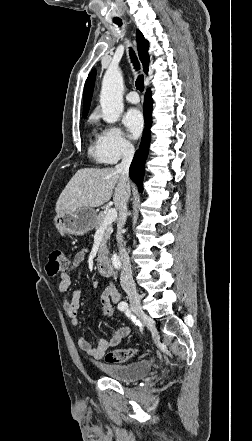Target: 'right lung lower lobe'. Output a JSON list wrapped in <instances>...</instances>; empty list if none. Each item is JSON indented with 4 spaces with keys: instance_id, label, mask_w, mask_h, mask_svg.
Instances as JSON below:
<instances>
[{
    "instance_id": "obj_1",
    "label": "right lung lower lobe",
    "mask_w": 252,
    "mask_h": 441,
    "mask_svg": "<svg viewBox=\"0 0 252 441\" xmlns=\"http://www.w3.org/2000/svg\"><path fill=\"white\" fill-rule=\"evenodd\" d=\"M152 114V98L151 90L148 89L144 99V119H145V131L142 137L139 150L135 153L133 161L130 166L129 175L130 178L137 184L139 191H143V177L145 173V161L148 155V147L150 142V127Z\"/></svg>"
}]
</instances>
